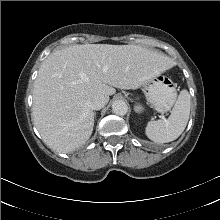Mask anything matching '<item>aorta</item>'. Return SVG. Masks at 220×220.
Listing matches in <instances>:
<instances>
[{
  "mask_svg": "<svg viewBox=\"0 0 220 220\" xmlns=\"http://www.w3.org/2000/svg\"><path fill=\"white\" fill-rule=\"evenodd\" d=\"M112 110L116 115L124 116L128 112V106L123 100H115L112 103Z\"/></svg>",
  "mask_w": 220,
  "mask_h": 220,
  "instance_id": "aorta-1",
  "label": "aorta"
}]
</instances>
